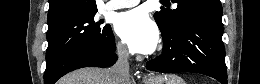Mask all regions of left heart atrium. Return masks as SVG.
I'll list each match as a JSON object with an SVG mask.
<instances>
[{"label": "left heart atrium", "instance_id": "obj_1", "mask_svg": "<svg viewBox=\"0 0 260 84\" xmlns=\"http://www.w3.org/2000/svg\"><path fill=\"white\" fill-rule=\"evenodd\" d=\"M115 28L129 49L136 53H152L159 42V31L143 8L120 13Z\"/></svg>", "mask_w": 260, "mask_h": 84}]
</instances>
